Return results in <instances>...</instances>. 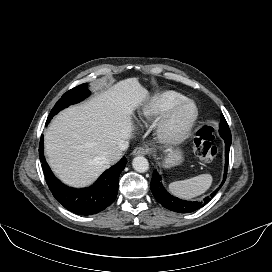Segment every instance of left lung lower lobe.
<instances>
[{
	"instance_id": "1",
	"label": "left lung lower lobe",
	"mask_w": 272,
	"mask_h": 272,
	"mask_svg": "<svg viewBox=\"0 0 272 272\" xmlns=\"http://www.w3.org/2000/svg\"><path fill=\"white\" fill-rule=\"evenodd\" d=\"M222 138L225 140L226 162H225L224 179L221 185L219 186V188L223 185L226 179L227 169H228V160H229V150L231 145V137L223 136ZM150 187L154 197L162 206H164L165 208L171 211L178 212V213H191L200 209L201 207L206 205L219 190V188H217L213 193H211L209 196L205 197L201 201L191 202V201L180 200L170 195L164 189L161 183V176L158 174L157 170L153 171Z\"/></svg>"
}]
</instances>
